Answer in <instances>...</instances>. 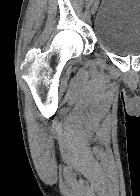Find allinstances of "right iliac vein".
<instances>
[{
    "label": "right iliac vein",
    "instance_id": "63e3f726",
    "mask_svg": "<svg viewBox=\"0 0 140 196\" xmlns=\"http://www.w3.org/2000/svg\"><path fill=\"white\" fill-rule=\"evenodd\" d=\"M96 10H97V3H95V4L92 6V9H91L92 15H94V14L96 13Z\"/></svg>",
    "mask_w": 140,
    "mask_h": 196
}]
</instances>
